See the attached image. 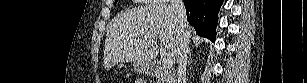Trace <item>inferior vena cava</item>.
Returning a JSON list of instances; mask_svg holds the SVG:
<instances>
[{
	"instance_id": "inferior-vena-cava-1",
	"label": "inferior vena cava",
	"mask_w": 307,
	"mask_h": 83,
	"mask_svg": "<svg viewBox=\"0 0 307 83\" xmlns=\"http://www.w3.org/2000/svg\"><path fill=\"white\" fill-rule=\"evenodd\" d=\"M171 7L177 16L179 31V45L176 54V62L178 63L177 82L184 83L189 55V24L186 18V9L183 0H171Z\"/></svg>"
}]
</instances>
